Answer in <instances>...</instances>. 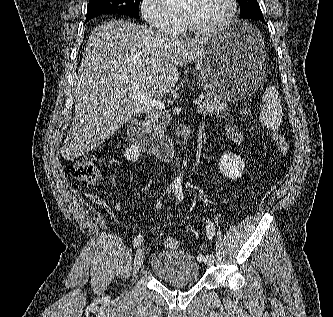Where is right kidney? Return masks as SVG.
Masks as SVG:
<instances>
[{"instance_id":"obj_1","label":"right kidney","mask_w":333,"mask_h":317,"mask_svg":"<svg viewBox=\"0 0 333 317\" xmlns=\"http://www.w3.org/2000/svg\"><path fill=\"white\" fill-rule=\"evenodd\" d=\"M140 153H139V147L136 145H132L129 148L125 150L124 156L127 160H130L132 162H135L138 160Z\"/></svg>"}]
</instances>
